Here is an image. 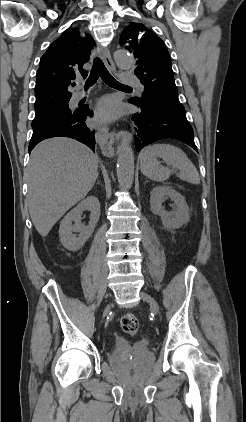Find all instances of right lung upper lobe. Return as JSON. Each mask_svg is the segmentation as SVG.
I'll use <instances>...</instances> for the list:
<instances>
[{"mask_svg": "<svg viewBox=\"0 0 246 422\" xmlns=\"http://www.w3.org/2000/svg\"><path fill=\"white\" fill-rule=\"evenodd\" d=\"M94 44L89 34L81 38L77 29L69 28L49 46L36 74L35 109L70 100L72 94L67 88L76 76H87L83 64L89 60Z\"/></svg>", "mask_w": 246, "mask_h": 422, "instance_id": "1", "label": "right lung upper lobe"}]
</instances>
